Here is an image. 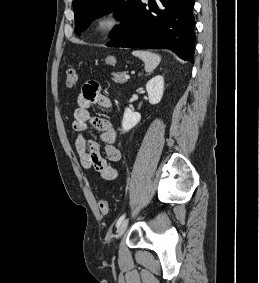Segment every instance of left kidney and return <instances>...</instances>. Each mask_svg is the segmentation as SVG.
<instances>
[{"label":"left kidney","mask_w":259,"mask_h":283,"mask_svg":"<svg viewBox=\"0 0 259 283\" xmlns=\"http://www.w3.org/2000/svg\"><path fill=\"white\" fill-rule=\"evenodd\" d=\"M146 90L150 104H158L161 101L164 92V78L161 75L153 77L146 84ZM140 120L141 115L139 113L133 112L129 108H126L122 120L123 132L130 131L140 122Z\"/></svg>","instance_id":"obj_1"}]
</instances>
